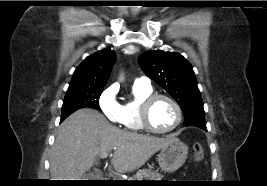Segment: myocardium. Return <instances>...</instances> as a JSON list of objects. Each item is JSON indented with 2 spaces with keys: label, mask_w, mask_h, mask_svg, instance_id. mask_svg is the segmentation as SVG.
Instances as JSON below:
<instances>
[{
  "label": "myocardium",
  "mask_w": 267,
  "mask_h": 186,
  "mask_svg": "<svg viewBox=\"0 0 267 186\" xmlns=\"http://www.w3.org/2000/svg\"><path fill=\"white\" fill-rule=\"evenodd\" d=\"M158 99L168 100L175 108L176 111V121L175 123L167 129H157L155 128L150 121V111L153 103ZM139 118L143 128L149 132L156 134H166L175 131L181 124L183 114L182 109L179 103L170 95L163 93H151L143 99L140 105Z\"/></svg>",
  "instance_id": "myocardium-1"
}]
</instances>
